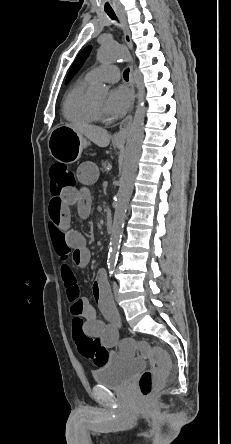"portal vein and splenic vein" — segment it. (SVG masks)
Segmentation results:
<instances>
[{
	"instance_id": "1",
	"label": "portal vein and splenic vein",
	"mask_w": 231,
	"mask_h": 444,
	"mask_svg": "<svg viewBox=\"0 0 231 444\" xmlns=\"http://www.w3.org/2000/svg\"><path fill=\"white\" fill-rule=\"evenodd\" d=\"M111 168V166L110 167H108V170ZM105 185H106V183H105Z\"/></svg>"
}]
</instances>
